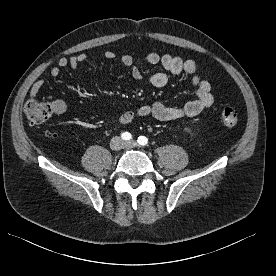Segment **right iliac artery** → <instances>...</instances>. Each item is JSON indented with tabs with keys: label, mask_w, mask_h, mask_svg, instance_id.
<instances>
[{
	"label": "right iliac artery",
	"mask_w": 276,
	"mask_h": 276,
	"mask_svg": "<svg viewBox=\"0 0 276 276\" xmlns=\"http://www.w3.org/2000/svg\"><path fill=\"white\" fill-rule=\"evenodd\" d=\"M121 138L125 141H129L130 139H132V135L129 132H123L121 134Z\"/></svg>",
	"instance_id": "right-iliac-artery-1"
}]
</instances>
